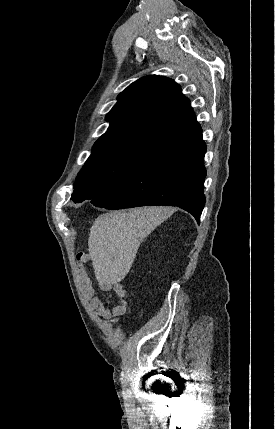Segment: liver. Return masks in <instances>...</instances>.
<instances>
[{"label":"liver","instance_id":"1","mask_svg":"<svg viewBox=\"0 0 275 429\" xmlns=\"http://www.w3.org/2000/svg\"><path fill=\"white\" fill-rule=\"evenodd\" d=\"M171 213L166 207H143L100 215L90 228L88 246L95 276L103 289L122 281L137 250Z\"/></svg>","mask_w":275,"mask_h":429}]
</instances>
